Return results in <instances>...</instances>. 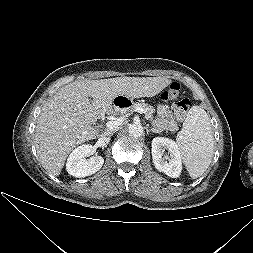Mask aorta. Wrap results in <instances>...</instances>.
<instances>
[{
	"label": "aorta",
	"instance_id": "1",
	"mask_svg": "<svg viewBox=\"0 0 253 253\" xmlns=\"http://www.w3.org/2000/svg\"><path fill=\"white\" fill-rule=\"evenodd\" d=\"M128 129H129L130 136L135 137V138L142 136L144 132L143 126L138 123L130 124Z\"/></svg>",
	"mask_w": 253,
	"mask_h": 253
}]
</instances>
